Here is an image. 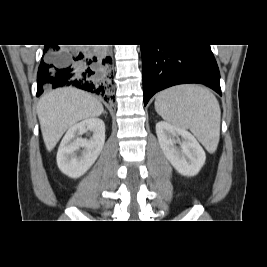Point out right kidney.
I'll return each mask as SVG.
<instances>
[{
    "label": "right kidney",
    "instance_id": "obj_1",
    "mask_svg": "<svg viewBox=\"0 0 267 267\" xmlns=\"http://www.w3.org/2000/svg\"><path fill=\"white\" fill-rule=\"evenodd\" d=\"M92 133L90 139L82 138ZM105 142V124L99 118L85 119L72 126L63 137L58 152L57 165L71 178L82 176L96 161ZM82 148V152L77 151Z\"/></svg>",
    "mask_w": 267,
    "mask_h": 267
}]
</instances>
